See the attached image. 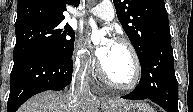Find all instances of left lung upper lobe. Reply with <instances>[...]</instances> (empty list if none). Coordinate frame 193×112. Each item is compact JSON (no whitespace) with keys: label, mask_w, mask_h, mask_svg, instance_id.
I'll list each match as a JSON object with an SVG mask.
<instances>
[{"label":"left lung upper lobe","mask_w":193,"mask_h":112,"mask_svg":"<svg viewBox=\"0 0 193 112\" xmlns=\"http://www.w3.org/2000/svg\"><path fill=\"white\" fill-rule=\"evenodd\" d=\"M117 17L139 60L163 38L171 37L164 0H113Z\"/></svg>","instance_id":"5c2ea615"}]
</instances>
